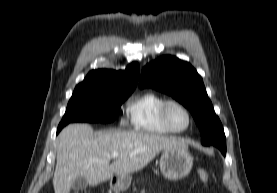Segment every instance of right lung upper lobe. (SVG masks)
I'll return each instance as SVG.
<instances>
[{
  "label": "right lung upper lobe",
  "mask_w": 277,
  "mask_h": 193,
  "mask_svg": "<svg viewBox=\"0 0 277 193\" xmlns=\"http://www.w3.org/2000/svg\"><path fill=\"white\" fill-rule=\"evenodd\" d=\"M139 65L130 64L124 71L93 70L75 89H87L99 92H132L139 78Z\"/></svg>",
  "instance_id": "right-lung-upper-lobe-1"
}]
</instances>
